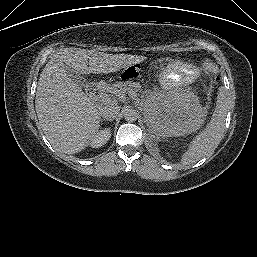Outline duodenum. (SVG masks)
<instances>
[{"label":"duodenum","instance_id":"obj_1","mask_svg":"<svg viewBox=\"0 0 257 257\" xmlns=\"http://www.w3.org/2000/svg\"><path fill=\"white\" fill-rule=\"evenodd\" d=\"M97 91H98V86H97V84H90V85L87 87V89H86V94H87V96H88L90 99H92V98L96 95Z\"/></svg>","mask_w":257,"mask_h":257}]
</instances>
